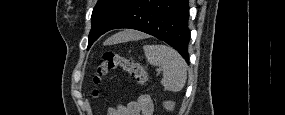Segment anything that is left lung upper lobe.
Listing matches in <instances>:
<instances>
[{"label": "left lung upper lobe", "mask_w": 285, "mask_h": 115, "mask_svg": "<svg viewBox=\"0 0 285 115\" xmlns=\"http://www.w3.org/2000/svg\"><path fill=\"white\" fill-rule=\"evenodd\" d=\"M132 0H98L93 9L92 27L89 33L88 48L104 33L110 23Z\"/></svg>", "instance_id": "obj_1"}]
</instances>
